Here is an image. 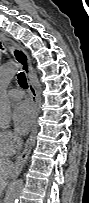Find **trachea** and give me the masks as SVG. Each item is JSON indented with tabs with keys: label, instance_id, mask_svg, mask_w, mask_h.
Instances as JSON below:
<instances>
[{
	"label": "trachea",
	"instance_id": "1",
	"mask_svg": "<svg viewBox=\"0 0 89 203\" xmlns=\"http://www.w3.org/2000/svg\"><path fill=\"white\" fill-rule=\"evenodd\" d=\"M0 47L2 48V46L0 45ZM18 83L20 84V86L22 88H27L28 87V83H27V79L26 76L23 72H20L18 74Z\"/></svg>",
	"mask_w": 89,
	"mask_h": 203
}]
</instances>
